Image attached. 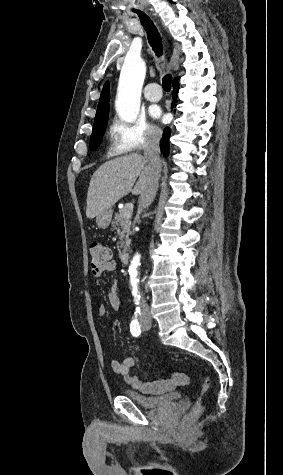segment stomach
Returning a JSON list of instances; mask_svg holds the SVG:
<instances>
[{
  "mask_svg": "<svg viewBox=\"0 0 283 475\" xmlns=\"http://www.w3.org/2000/svg\"><path fill=\"white\" fill-rule=\"evenodd\" d=\"M113 210H103L98 216H96V224L98 228H108L112 220Z\"/></svg>",
  "mask_w": 283,
  "mask_h": 475,
  "instance_id": "1",
  "label": "stomach"
}]
</instances>
